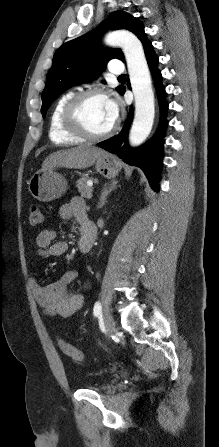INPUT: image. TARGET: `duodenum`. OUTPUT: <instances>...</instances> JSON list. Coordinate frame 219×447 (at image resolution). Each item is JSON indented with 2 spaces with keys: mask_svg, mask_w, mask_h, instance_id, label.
Listing matches in <instances>:
<instances>
[{
  "mask_svg": "<svg viewBox=\"0 0 219 447\" xmlns=\"http://www.w3.org/2000/svg\"><path fill=\"white\" fill-rule=\"evenodd\" d=\"M96 226L93 221L89 220L87 218V215L85 219L82 222V243H81V251L86 253L91 250V247L93 245V242L96 238Z\"/></svg>",
  "mask_w": 219,
  "mask_h": 447,
  "instance_id": "1",
  "label": "duodenum"
}]
</instances>
